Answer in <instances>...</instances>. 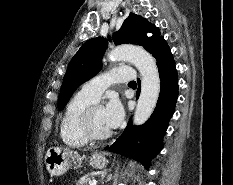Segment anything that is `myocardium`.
<instances>
[{
	"instance_id": "1",
	"label": "myocardium",
	"mask_w": 233,
	"mask_h": 185,
	"mask_svg": "<svg viewBox=\"0 0 233 185\" xmlns=\"http://www.w3.org/2000/svg\"><path fill=\"white\" fill-rule=\"evenodd\" d=\"M96 108H102V105L97 102L91 103L89 106L85 108L80 117V129L82 131V134L88 141L93 142L106 140L112 135L111 130L105 134H96L93 131L91 125V115Z\"/></svg>"
}]
</instances>
